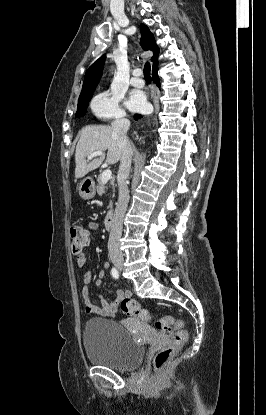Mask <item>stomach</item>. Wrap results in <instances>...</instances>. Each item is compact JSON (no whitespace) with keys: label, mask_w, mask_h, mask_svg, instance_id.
Returning a JSON list of instances; mask_svg holds the SVG:
<instances>
[{"label":"stomach","mask_w":266,"mask_h":415,"mask_svg":"<svg viewBox=\"0 0 266 415\" xmlns=\"http://www.w3.org/2000/svg\"><path fill=\"white\" fill-rule=\"evenodd\" d=\"M79 196L83 200H90L95 196V183L91 177L83 179L80 183Z\"/></svg>","instance_id":"stomach-1"}]
</instances>
